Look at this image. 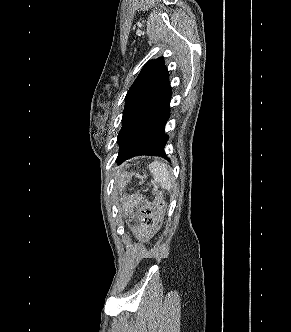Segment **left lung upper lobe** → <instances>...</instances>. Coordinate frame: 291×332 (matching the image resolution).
<instances>
[{
	"mask_svg": "<svg viewBox=\"0 0 291 332\" xmlns=\"http://www.w3.org/2000/svg\"><path fill=\"white\" fill-rule=\"evenodd\" d=\"M169 84L164 58L149 61L128 90L122 117V128L117 143L122 148L139 127V120L147 103L159 95Z\"/></svg>",
	"mask_w": 291,
	"mask_h": 332,
	"instance_id": "5c2ea615",
	"label": "left lung upper lobe"
}]
</instances>
